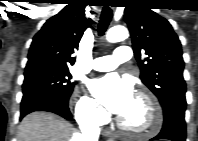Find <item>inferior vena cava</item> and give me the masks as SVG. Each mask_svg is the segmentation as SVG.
Segmentation results:
<instances>
[{
    "mask_svg": "<svg viewBox=\"0 0 198 141\" xmlns=\"http://www.w3.org/2000/svg\"><path fill=\"white\" fill-rule=\"evenodd\" d=\"M81 129V141H98L100 129L95 123H84L80 127Z\"/></svg>",
    "mask_w": 198,
    "mask_h": 141,
    "instance_id": "1",
    "label": "inferior vena cava"
}]
</instances>
